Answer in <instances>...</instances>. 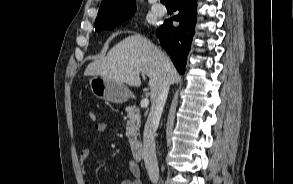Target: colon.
I'll return each instance as SVG.
<instances>
[{"label":"colon","instance_id":"obj_1","mask_svg":"<svg viewBox=\"0 0 293 184\" xmlns=\"http://www.w3.org/2000/svg\"><path fill=\"white\" fill-rule=\"evenodd\" d=\"M89 118H90L91 121H95L96 118H97L95 112L90 111L89 112Z\"/></svg>","mask_w":293,"mask_h":184}]
</instances>
